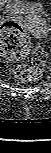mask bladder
Wrapping results in <instances>:
<instances>
[{
  "instance_id": "bladder-1",
  "label": "bladder",
  "mask_w": 51,
  "mask_h": 153,
  "mask_svg": "<svg viewBox=\"0 0 51 153\" xmlns=\"http://www.w3.org/2000/svg\"><path fill=\"white\" fill-rule=\"evenodd\" d=\"M0 7L9 13L22 15H43L44 9L37 0H0Z\"/></svg>"
}]
</instances>
